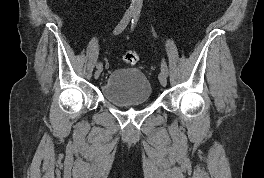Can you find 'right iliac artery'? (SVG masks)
<instances>
[{
	"instance_id": "obj_1",
	"label": "right iliac artery",
	"mask_w": 264,
	"mask_h": 178,
	"mask_svg": "<svg viewBox=\"0 0 264 178\" xmlns=\"http://www.w3.org/2000/svg\"><path fill=\"white\" fill-rule=\"evenodd\" d=\"M134 15V11L133 10H128L125 15L123 16V18L121 19V21L119 22V24L115 27L113 34L114 35H118L120 34L128 25L129 21L131 20V18ZM103 64L101 62L97 63V68H102Z\"/></svg>"
}]
</instances>
